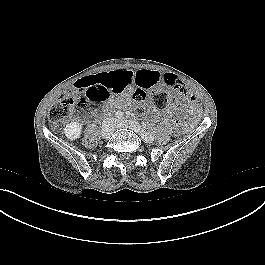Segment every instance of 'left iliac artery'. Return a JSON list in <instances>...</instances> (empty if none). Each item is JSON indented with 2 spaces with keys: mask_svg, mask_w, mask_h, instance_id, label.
Masks as SVG:
<instances>
[{
  "mask_svg": "<svg viewBox=\"0 0 265 265\" xmlns=\"http://www.w3.org/2000/svg\"><path fill=\"white\" fill-rule=\"evenodd\" d=\"M142 137L145 139H151L153 136L142 129Z\"/></svg>",
  "mask_w": 265,
  "mask_h": 265,
  "instance_id": "obj_1",
  "label": "left iliac artery"
}]
</instances>
